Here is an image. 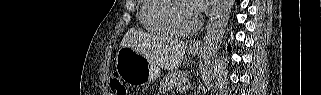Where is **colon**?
<instances>
[{
    "instance_id": "5ec220e1",
    "label": "colon",
    "mask_w": 321,
    "mask_h": 95,
    "mask_svg": "<svg viewBox=\"0 0 321 95\" xmlns=\"http://www.w3.org/2000/svg\"><path fill=\"white\" fill-rule=\"evenodd\" d=\"M111 89L118 95H125L127 93L126 87L116 73L110 76Z\"/></svg>"
}]
</instances>
